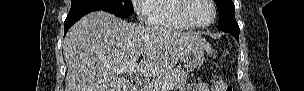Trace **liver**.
<instances>
[{"mask_svg": "<svg viewBox=\"0 0 304 91\" xmlns=\"http://www.w3.org/2000/svg\"><path fill=\"white\" fill-rule=\"evenodd\" d=\"M208 43L198 33L128 23L104 11L84 16L63 42L65 91H129L117 70L133 63L137 72L159 77L172 70L185 50Z\"/></svg>", "mask_w": 304, "mask_h": 91, "instance_id": "liver-1", "label": "liver"}]
</instances>
